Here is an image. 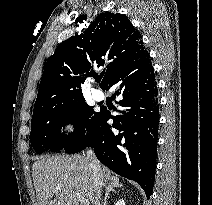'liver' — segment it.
Masks as SVG:
<instances>
[{
    "instance_id": "obj_1",
    "label": "liver",
    "mask_w": 212,
    "mask_h": 205,
    "mask_svg": "<svg viewBox=\"0 0 212 205\" xmlns=\"http://www.w3.org/2000/svg\"><path fill=\"white\" fill-rule=\"evenodd\" d=\"M103 185L118 181L106 167H101ZM37 205H78L75 192L98 205L99 197L92 179V169L86 156H44L32 167ZM108 185V186H109ZM60 189H57V187ZM55 194V198L53 196Z\"/></svg>"
}]
</instances>
